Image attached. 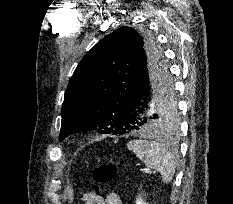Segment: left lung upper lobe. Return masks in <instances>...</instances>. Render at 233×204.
<instances>
[{"instance_id": "5c2ea615", "label": "left lung upper lobe", "mask_w": 233, "mask_h": 204, "mask_svg": "<svg viewBox=\"0 0 233 204\" xmlns=\"http://www.w3.org/2000/svg\"><path fill=\"white\" fill-rule=\"evenodd\" d=\"M142 54L161 55L166 63L148 32L123 26L105 36L83 57L65 91L59 141L81 131L125 133L116 125L115 117ZM154 113L159 131L173 132L178 128L179 110L173 82L158 98Z\"/></svg>"}]
</instances>
